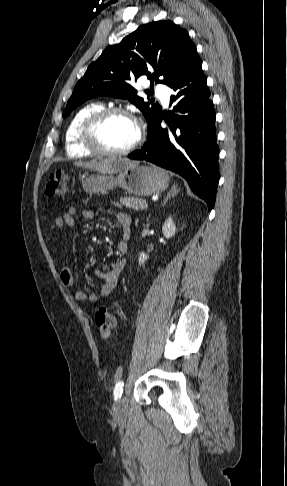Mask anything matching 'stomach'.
I'll list each match as a JSON object with an SVG mask.
<instances>
[{
  "label": "stomach",
  "instance_id": "obj_1",
  "mask_svg": "<svg viewBox=\"0 0 287 486\" xmlns=\"http://www.w3.org/2000/svg\"><path fill=\"white\" fill-rule=\"evenodd\" d=\"M169 184V176L155 166H126L116 175H90L83 182L87 193H106L116 187L136 196H150L164 191Z\"/></svg>",
  "mask_w": 287,
  "mask_h": 486
}]
</instances>
